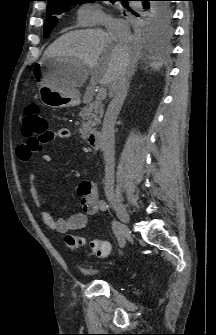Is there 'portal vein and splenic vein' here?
Masks as SVG:
<instances>
[{
  "instance_id": "18ae733b",
  "label": "portal vein and splenic vein",
  "mask_w": 216,
  "mask_h": 335,
  "mask_svg": "<svg viewBox=\"0 0 216 335\" xmlns=\"http://www.w3.org/2000/svg\"><path fill=\"white\" fill-rule=\"evenodd\" d=\"M107 96V90L105 88L101 89L97 94V100H104Z\"/></svg>"
}]
</instances>
